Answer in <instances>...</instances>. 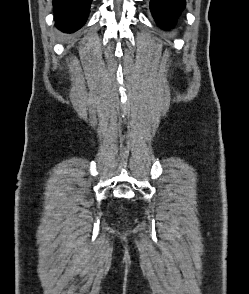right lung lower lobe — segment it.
<instances>
[{
	"mask_svg": "<svg viewBox=\"0 0 249 294\" xmlns=\"http://www.w3.org/2000/svg\"><path fill=\"white\" fill-rule=\"evenodd\" d=\"M92 0H53L56 27L63 32L73 33L87 20Z\"/></svg>",
	"mask_w": 249,
	"mask_h": 294,
	"instance_id": "1",
	"label": "right lung lower lobe"
}]
</instances>
